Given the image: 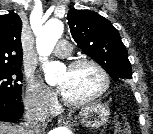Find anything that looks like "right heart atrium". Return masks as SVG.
I'll use <instances>...</instances> for the list:
<instances>
[{
    "mask_svg": "<svg viewBox=\"0 0 153 134\" xmlns=\"http://www.w3.org/2000/svg\"><path fill=\"white\" fill-rule=\"evenodd\" d=\"M24 103L31 113L41 116L49 115L56 106L52 93L33 78L27 81Z\"/></svg>",
    "mask_w": 153,
    "mask_h": 134,
    "instance_id": "right-heart-atrium-1",
    "label": "right heart atrium"
}]
</instances>
